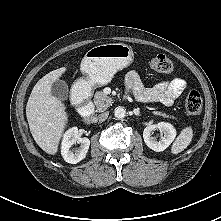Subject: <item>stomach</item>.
I'll return each instance as SVG.
<instances>
[{
    "instance_id": "obj_1",
    "label": "stomach",
    "mask_w": 221,
    "mask_h": 221,
    "mask_svg": "<svg viewBox=\"0 0 221 221\" xmlns=\"http://www.w3.org/2000/svg\"><path fill=\"white\" fill-rule=\"evenodd\" d=\"M133 49L123 43L98 45L88 50L81 61L83 77L76 84L89 90L108 84L117 71L128 67L133 61Z\"/></svg>"
}]
</instances>
